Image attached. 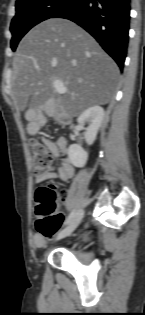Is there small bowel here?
<instances>
[{
  "label": "small bowel",
  "mask_w": 145,
  "mask_h": 315,
  "mask_svg": "<svg viewBox=\"0 0 145 315\" xmlns=\"http://www.w3.org/2000/svg\"><path fill=\"white\" fill-rule=\"evenodd\" d=\"M41 124L40 118H36L32 120L28 124V131L30 133H35L39 130ZM43 143L47 147V149L52 153L53 156L60 158L61 162L57 167H53L50 170L44 173H35L34 182L42 183L47 180L59 179L61 181H68L73 173L74 169L70 162L68 153V142L65 138H60L57 141L53 142L47 139L43 140ZM65 200L64 194L61 196V201ZM45 243V237L42 233H35L32 237V244L40 248Z\"/></svg>",
  "instance_id": "1"
}]
</instances>
